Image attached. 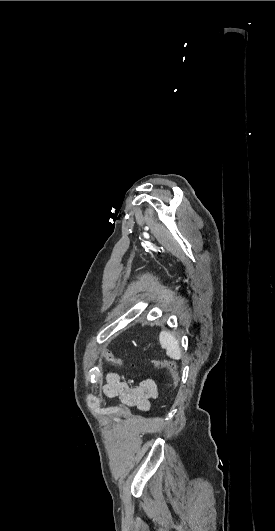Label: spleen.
I'll return each instance as SVG.
<instances>
[{"instance_id":"obj_1","label":"spleen","mask_w":275,"mask_h":531,"mask_svg":"<svg viewBox=\"0 0 275 531\" xmlns=\"http://www.w3.org/2000/svg\"><path fill=\"white\" fill-rule=\"evenodd\" d=\"M159 341L162 349H166V355H168L170 359H175V361L181 359L182 355L179 343L170 331H161Z\"/></svg>"}]
</instances>
